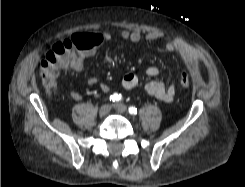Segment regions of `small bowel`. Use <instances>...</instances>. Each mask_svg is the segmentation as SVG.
<instances>
[{
  "mask_svg": "<svg viewBox=\"0 0 245 187\" xmlns=\"http://www.w3.org/2000/svg\"><path fill=\"white\" fill-rule=\"evenodd\" d=\"M120 37L123 40L131 42H139L142 39L147 41H160L164 38L163 33L159 31H150L146 34H142L139 31H128L123 30L120 33ZM112 35L109 32L103 33H94L88 35L84 40H82V48L86 51H76L71 52L67 59L60 63L59 68L61 70L71 69L76 72H80L85 67V62L88 54H91L95 48L101 42L111 41ZM165 49L170 53H177L188 66H193L196 62L197 56L196 53L186 44L171 40L165 44ZM146 74L149 77H156L159 74V69L156 66H150L146 70ZM139 83V78L134 73H127L123 76L121 80V86L124 89H132L136 87ZM91 86H98L101 91L108 92L110 86L104 83H98L94 78L89 80ZM147 94L160 102H171L174 99L175 95V86L170 85L166 87L162 82L152 80L148 82L145 86ZM70 96L75 100H80L82 98L81 94L77 91H71Z\"/></svg>",
  "mask_w": 245,
  "mask_h": 187,
  "instance_id": "c3829d8e",
  "label": "small bowel"
}]
</instances>
